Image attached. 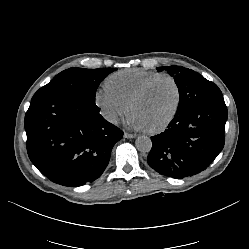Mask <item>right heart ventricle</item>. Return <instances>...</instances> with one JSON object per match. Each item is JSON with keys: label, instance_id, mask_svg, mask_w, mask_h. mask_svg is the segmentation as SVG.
Wrapping results in <instances>:
<instances>
[{"label": "right heart ventricle", "instance_id": "obj_1", "mask_svg": "<svg viewBox=\"0 0 249 249\" xmlns=\"http://www.w3.org/2000/svg\"><path fill=\"white\" fill-rule=\"evenodd\" d=\"M162 73L154 70L131 68L116 71L104 81L105 87L128 103L139 88L150 79Z\"/></svg>", "mask_w": 249, "mask_h": 249}]
</instances>
